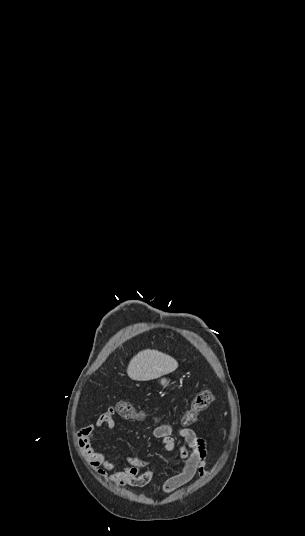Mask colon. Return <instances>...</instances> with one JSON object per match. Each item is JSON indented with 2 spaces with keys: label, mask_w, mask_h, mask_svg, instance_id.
<instances>
[{
  "label": "colon",
  "mask_w": 305,
  "mask_h": 536,
  "mask_svg": "<svg viewBox=\"0 0 305 536\" xmlns=\"http://www.w3.org/2000/svg\"><path fill=\"white\" fill-rule=\"evenodd\" d=\"M214 400L213 393L210 390H200L196 393L192 403L187 408L184 415V422L186 425H190L196 422L198 416L208 410L209 406ZM115 414L119 416H133L138 413L136 407L129 401H119L115 405Z\"/></svg>",
  "instance_id": "colon-1"
}]
</instances>
